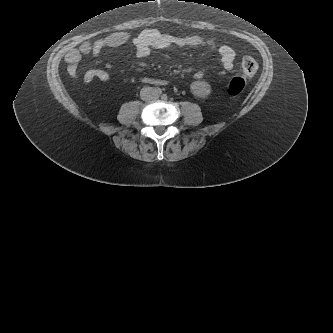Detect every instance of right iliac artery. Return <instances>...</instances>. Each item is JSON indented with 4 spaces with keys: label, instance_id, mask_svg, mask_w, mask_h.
Wrapping results in <instances>:
<instances>
[{
    "label": "right iliac artery",
    "instance_id": "82829eb1",
    "mask_svg": "<svg viewBox=\"0 0 333 333\" xmlns=\"http://www.w3.org/2000/svg\"><path fill=\"white\" fill-rule=\"evenodd\" d=\"M153 91H154L155 93H160V89H159V88H154Z\"/></svg>",
    "mask_w": 333,
    "mask_h": 333
}]
</instances>
